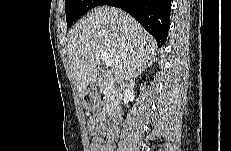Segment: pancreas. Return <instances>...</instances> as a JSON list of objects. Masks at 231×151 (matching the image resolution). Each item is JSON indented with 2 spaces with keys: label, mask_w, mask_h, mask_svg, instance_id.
Instances as JSON below:
<instances>
[{
  "label": "pancreas",
  "mask_w": 231,
  "mask_h": 151,
  "mask_svg": "<svg viewBox=\"0 0 231 151\" xmlns=\"http://www.w3.org/2000/svg\"><path fill=\"white\" fill-rule=\"evenodd\" d=\"M102 89L104 93V102L106 108L108 109L115 101L116 92L114 87L110 85L108 82H104L102 84Z\"/></svg>",
  "instance_id": "1"
}]
</instances>
